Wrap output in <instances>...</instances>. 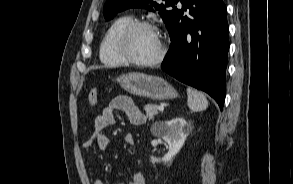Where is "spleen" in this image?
<instances>
[{
    "mask_svg": "<svg viewBox=\"0 0 293 184\" xmlns=\"http://www.w3.org/2000/svg\"><path fill=\"white\" fill-rule=\"evenodd\" d=\"M188 107L195 112L203 111L208 107L205 95L192 88H187Z\"/></svg>",
    "mask_w": 293,
    "mask_h": 184,
    "instance_id": "1",
    "label": "spleen"
}]
</instances>
